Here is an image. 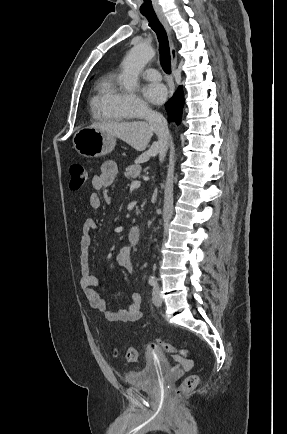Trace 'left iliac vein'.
<instances>
[{"label": "left iliac vein", "instance_id": "4c4485c4", "mask_svg": "<svg viewBox=\"0 0 287 434\" xmlns=\"http://www.w3.org/2000/svg\"><path fill=\"white\" fill-rule=\"evenodd\" d=\"M152 301H153V304L156 306L162 305V298L160 296V289H159L158 285H156L153 289Z\"/></svg>", "mask_w": 287, "mask_h": 434}]
</instances>
